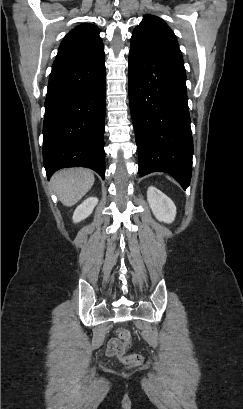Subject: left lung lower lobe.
<instances>
[{
	"label": "left lung lower lobe",
	"instance_id": "obj_1",
	"mask_svg": "<svg viewBox=\"0 0 243 409\" xmlns=\"http://www.w3.org/2000/svg\"><path fill=\"white\" fill-rule=\"evenodd\" d=\"M128 88L139 176L167 172L185 189L192 173L193 139L180 49L130 50Z\"/></svg>",
	"mask_w": 243,
	"mask_h": 409
}]
</instances>
